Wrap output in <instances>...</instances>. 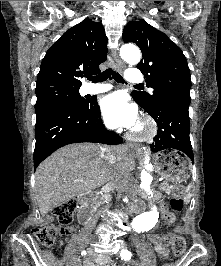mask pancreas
<instances>
[{"label":"pancreas","mask_w":221,"mask_h":266,"mask_svg":"<svg viewBox=\"0 0 221 266\" xmlns=\"http://www.w3.org/2000/svg\"><path fill=\"white\" fill-rule=\"evenodd\" d=\"M159 189L161 191H164L166 194H170L172 189H173V186L172 185H169V184H166V183H163L159 186Z\"/></svg>","instance_id":"obj_1"}]
</instances>
